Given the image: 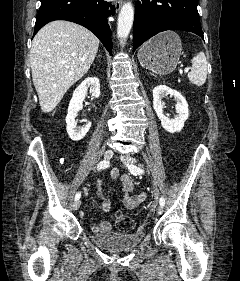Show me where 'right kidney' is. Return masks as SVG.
Masks as SVG:
<instances>
[{
    "instance_id": "right-kidney-1",
    "label": "right kidney",
    "mask_w": 240,
    "mask_h": 281,
    "mask_svg": "<svg viewBox=\"0 0 240 281\" xmlns=\"http://www.w3.org/2000/svg\"><path fill=\"white\" fill-rule=\"evenodd\" d=\"M88 88H90V93L93 97L98 98L100 96L99 79L96 77H89L75 89L68 106V113L66 116V130L69 137L74 141L83 139L91 127V122H88L82 127H77V123L75 122V117L78 111L82 109V104L85 96L87 95Z\"/></svg>"
}]
</instances>
